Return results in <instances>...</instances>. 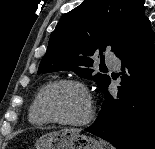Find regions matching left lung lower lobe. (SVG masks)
Wrapping results in <instances>:
<instances>
[{
  "label": "left lung lower lobe",
  "instance_id": "obj_1",
  "mask_svg": "<svg viewBox=\"0 0 155 149\" xmlns=\"http://www.w3.org/2000/svg\"><path fill=\"white\" fill-rule=\"evenodd\" d=\"M155 32L149 19L115 55L122 61L117 97L102 88L105 101L98 118L85 131L118 149L155 148Z\"/></svg>",
  "mask_w": 155,
  "mask_h": 149
}]
</instances>
